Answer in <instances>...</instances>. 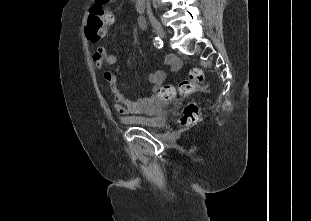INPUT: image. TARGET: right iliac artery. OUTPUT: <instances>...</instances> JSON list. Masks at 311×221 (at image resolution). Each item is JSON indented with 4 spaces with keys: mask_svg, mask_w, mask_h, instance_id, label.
Masks as SVG:
<instances>
[{
    "mask_svg": "<svg viewBox=\"0 0 311 221\" xmlns=\"http://www.w3.org/2000/svg\"><path fill=\"white\" fill-rule=\"evenodd\" d=\"M153 42H154V46L158 49H160L163 46V42L160 39V37H155Z\"/></svg>",
    "mask_w": 311,
    "mask_h": 221,
    "instance_id": "82829eb1",
    "label": "right iliac artery"
}]
</instances>
